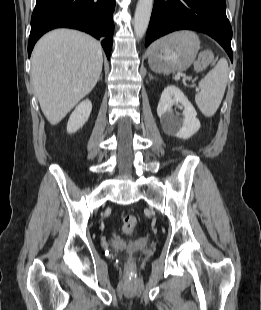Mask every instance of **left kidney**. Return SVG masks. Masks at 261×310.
I'll return each instance as SVG.
<instances>
[{"label":"left kidney","instance_id":"left-kidney-1","mask_svg":"<svg viewBox=\"0 0 261 310\" xmlns=\"http://www.w3.org/2000/svg\"><path fill=\"white\" fill-rule=\"evenodd\" d=\"M180 103L183 120L173 113L172 106ZM157 114L163 129L178 138L188 139L200 128L197 112L184 93L175 85H168L162 92Z\"/></svg>","mask_w":261,"mask_h":310}]
</instances>
